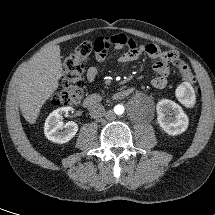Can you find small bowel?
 Returning a JSON list of instances; mask_svg holds the SVG:
<instances>
[{"instance_id": "1", "label": "small bowel", "mask_w": 215, "mask_h": 215, "mask_svg": "<svg viewBox=\"0 0 215 215\" xmlns=\"http://www.w3.org/2000/svg\"><path fill=\"white\" fill-rule=\"evenodd\" d=\"M95 60L98 63L106 59L109 48L123 49L126 51L119 56L118 62L129 63L136 61L143 53L152 58L156 75L151 80V84L156 89H164L168 84L170 75V63H173L178 55L173 51H162L156 44H139L133 38L125 34L99 36L94 41ZM98 66L91 65L86 70V79L91 85L98 75Z\"/></svg>"}]
</instances>
